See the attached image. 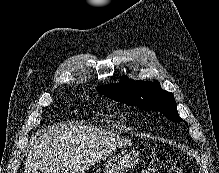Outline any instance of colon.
Returning <instances> with one entry per match:
<instances>
[{"mask_svg": "<svg viewBox=\"0 0 219 173\" xmlns=\"http://www.w3.org/2000/svg\"><path fill=\"white\" fill-rule=\"evenodd\" d=\"M146 173H184L181 163L174 159L153 160Z\"/></svg>", "mask_w": 219, "mask_h": 173, "instance_id": "1", "label": "colon"}]
</instances>
